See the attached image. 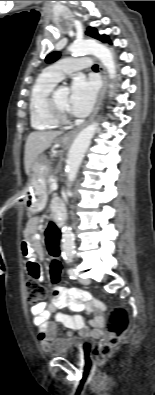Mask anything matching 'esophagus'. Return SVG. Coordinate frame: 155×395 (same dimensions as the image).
Returning <instances> with one entry per match:
<instances>
[{
  "instance_id": "1",
  "label": "esophagus",
  "mask_w": 155,
  "mask_h": 395,
  "mask_svg": "<svg viewBox=\"0 0 155 395\" xmlns=\"http://www.w3.org/2000/svg\"><path fill=\"white\" fill-rule=\"evenodd\" d=\"M98 64H99V71H100V74H101V77H102V88L100 90V93H99V96H98L97 103H96V106L94 108V111H93L92 115L90 116V118L88 119V121L84 125H86L87 123L91 122L93 120V118L96 116V114H97V112L99 110V107L101 105L102 99L104 97V94L106 92V89H107V77H106L105 69H104V67L102 66L101 63H98ZM84 125H82L81 127H78L75 130H72V131L68 132L64 136V139L65 140H72V139H74V137L77 135V133L80 131V129Z\"/></svg>"
}]
</instances>
